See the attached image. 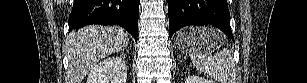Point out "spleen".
<instances>
[{
  "mask_svg": "<svg viewBox=\"0 0 307 83\" xmlns=\"http://www.w3.org/2000/svg\"><path fill=\"white\" fill-rule=\"evenodd\" d=\"M197 28V27H196ZM201 38L207 43L216 40L219 48L226 40V36L214 28H199ZM203 46L205 43L190 53V59L196 70L207 77L213 78L220 83H236V68L231 52L223 48L212 55Z\"/></svg>",
  "mask_w": 307,
  "mask_h": 83,
  "instance_id": "1",
  "label": "spleen"
}]
</instances>
